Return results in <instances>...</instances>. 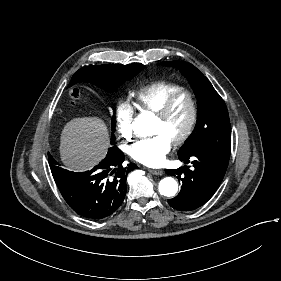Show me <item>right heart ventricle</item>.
<instances>
[{"mask_svg": "<svg viewBox=\"0 0 281 281\" xmlns=\"http://www.w3.org/2000/svg\"><path fill=\"white\" fill-rule=\"evenodd\" d=\"M185 91L179 84L157 82L132 94L134 107L142 113H152L159 109L172 95Z\"/></svg>", "mask_w": 281, "mask_h": 281, "instance_id": "e07e8e85", "label": "right heart ventricle"}]
</instances>
